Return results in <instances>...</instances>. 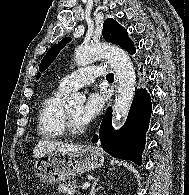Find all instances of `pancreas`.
<instances>
[{"mask_svg": "<svg viewBox=\"0 0 189 195\" xmlns=\"http://www.w3.org/2000/svg\"><path fill=\"white\" fill-rule=\"evenodd\" d=\"M77 185L75 182H65L61 183L58 186L59 192H68L69 194L76 191ZM68 195V194H67Z\"/></svg>", "mask_w": 189, "mask_h": 195, "instance_id": "1", "label": "pancreas"}]
</instances>
